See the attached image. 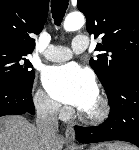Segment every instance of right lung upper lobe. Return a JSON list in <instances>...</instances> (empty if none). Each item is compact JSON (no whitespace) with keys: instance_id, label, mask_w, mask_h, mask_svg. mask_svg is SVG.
I'll return each instance as SVG.
<instances>
[{"instance_id":"1","label":"right lung upper lobe","mask_w":139,"mask_h":150,"mask_svg":"<svg viewBox=\"0 0 139 150\" xmlns=\"http://www.w3.org/2000/svg\"><path fill=\"white\" fill-rule=\"evenodd\" d=\"M48 8L49 0H0V48L31 53Z\"/></svg>"}]
</instances>
